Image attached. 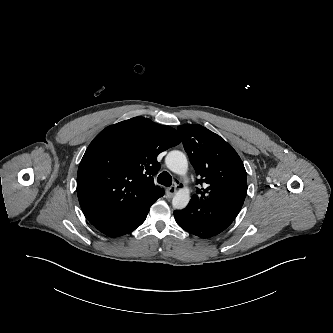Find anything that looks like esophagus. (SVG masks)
<instances>
[{"label":"esophagus","instance_id":"34e87169","mask_svg":"<svg viewBox=\"0 0 333 333\" xmlns=\"http://www.w3.org/2000/svg\"><path fill=\"white\" fill-rule=\"evenodd\" d=\"M178 186L179 185L177 183H175L174 186H171L167 189L166 195L168 198H172L175 195Z\"/></svg>","mask_w":333,"mask_h":333}]
</instances>
